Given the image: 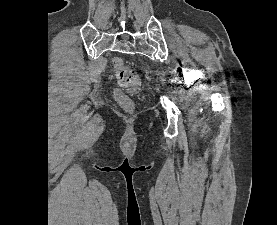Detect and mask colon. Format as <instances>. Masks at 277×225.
Here are the masks:
<instances>
[{
  "label": "colon",
  "mask_w": 277,
  "mask_h": 225,
  "mask_svg": "<svg viewBox=\"0 0 277 225\" xmlns=\"http://www.w3.org/2000/svg\"><path fill=\"white\" fill-rule=\"evenodd\" d=\"M113 66L118 86L114 90V97L119 106L126 112H132L135 109V104L129 93L137 92L140 89V79L137 72L127 66L122 58H115Z\"/></svg>",
  "instance_id": "obj_1"
}]
</instances>
